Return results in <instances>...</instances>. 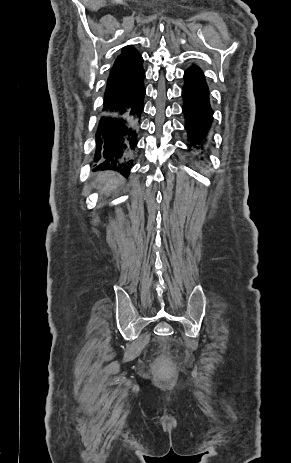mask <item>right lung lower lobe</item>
<instances>
[{
    "label": "right lung lower lobe",
    "instance_id": "98d812e1",
    "mask_svg": "<svg viewBox=\"0 0 291 463\" xmlns=\"http://www.w3.org/2000/svg\"><path fill=\"white\" fill-rule=\"evenodd\" d=\"M144 78L143 72L125 98L102 113L95 133L94 170L110 169L129 175L144 109Z\"/></svg>",
    "mask_w": 291,
    "mask_h": 463
}]
</instances>
